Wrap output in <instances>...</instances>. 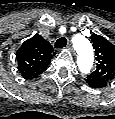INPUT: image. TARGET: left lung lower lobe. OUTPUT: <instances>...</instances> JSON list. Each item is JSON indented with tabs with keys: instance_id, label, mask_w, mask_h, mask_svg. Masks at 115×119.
<instances>
[{
	"instance_id": "obj_1",
	"label": "left lung lower lobe",
	"mask_w": 115,
	"mask_h": 119,
	"mask_svg": "<svg viewBox=\"0 0 115 119\" xmlns=\"http://www.w3.org/2000/svg\"><path fill=\"white\" fill-rule=\"evenodd\" d=\"M86 82L93 88H103L107 85V80L97 75L90 74L86 78Z\"/></svg>"
}]
</instances>
